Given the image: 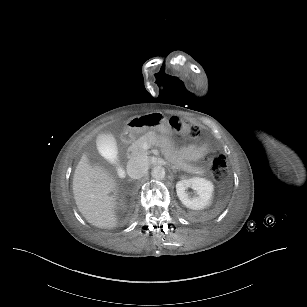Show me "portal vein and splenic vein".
<instances>
[{
	"instance_id": "obj_1",
	"label": "portal vein and splenic vein",
	"mask_w": 307,
	"mask_h": 307,
	"mask_svg": "<svg viewBox=\"0 0 307 307\" xmlns=\"http://www.w3.org/2000/svg\"><path fill=\"white\" fill-rule=\"evenodd\" d=\"M144 148H145V149H148V148H149V145H148V144H145V145H144Z\"/></svg>"
}]
</instances>
